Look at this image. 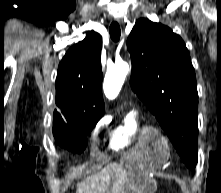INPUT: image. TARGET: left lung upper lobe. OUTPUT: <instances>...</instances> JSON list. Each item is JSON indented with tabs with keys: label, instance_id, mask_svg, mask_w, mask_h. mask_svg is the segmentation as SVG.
Returning a JSON list of instances; mask_svg holds the SVG:
<instances>
[{
	"label": "left lung upper lobe",
	"instance_id": "left-lung-upper-lobe-1",
	"mask_svg": "<svg viewBox=\"0 0 221 193\" xmlns=\"http://www.w3.org/2000/svg\"><path fill=\"white\" fill-rule=\"evenodd\" d=\"M131 88L155 115L182 161L197 163L198 93L195 71L181 37L141 18L127 40Z\"/></svg>",
	"mask_w": 221,
	"mask_h": 193
}]
</instances>
